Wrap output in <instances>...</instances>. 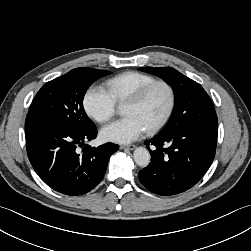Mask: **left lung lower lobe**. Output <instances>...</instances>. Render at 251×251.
Segmentation results:
<instances>
[{"instance_id":"obj_1","label":"left lung lower lobe","mask_w":251,"mask_h":251,"mask_svg":"<svg viewBox=\"0 0 251 251\" xmlns=\"http://www.w3.org/2000/svg\"><path fill=\"white\" fill-rule=\"evenodd\" d=\"M218 119L211 100H201L187 122L145 142L151 163L139 172L140 182L151 192L169 196L193 187L215 156Z\"/></svg>"}]
</instances>
